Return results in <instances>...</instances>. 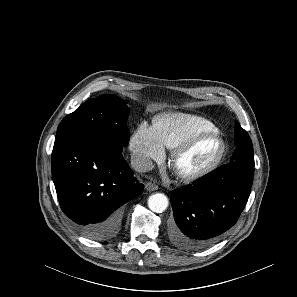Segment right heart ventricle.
I'll list each match as a JSON object with an SVG mask.
<instances>
[{"label":"right heart ventricle","instance_id":"right-heart-ventricle-1","mask_svg":"<svg viewBox=\"0 0 297 297\" xmlns=\"http://www.w3.org/2000/svg\"><path fill=\"white\" fill-rule=\"evenodd\" d=\"M153 129L163 146L174 149L191 135L201 131L216 130V127L201 116L171 112L157 117Z\"/></svg>","mask_w":297,"mask_h":297}]
</instances>
